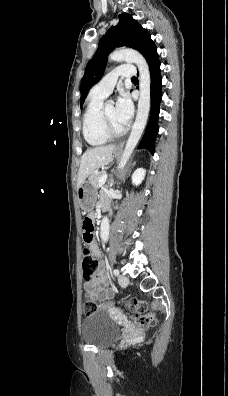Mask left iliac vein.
<instances>
[{
	"mask_svg": "<svg viewBox=\"0 0 228 396\" xmlns=\"http://www.w3.org/2000/svg\"><path fill=\"white\" fill-rule=\"evenodd\" d=\"M118 282H119V284H120L121 286L125 287V286H127V285L129 284V279H128V277L125 276V275H120V276L118 277Z\"/></svg>",
	"mask_w": 228,
	"mask_h": 396,
	"instance_id": "1",
	"label": "left iliac vein"
}]
</instances>
